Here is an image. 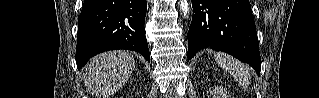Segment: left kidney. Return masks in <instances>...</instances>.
I'll list each match as a JSON object with an SVG mask.
<instances>
[{
	"instance_id": "1",
	"label": "left kidney",
	"mask_w": 319,
	"mask_h": 98,
	"mask_svg": "<svg viewBox=\"0 0 319 98\" xmlns=\"http://www.w3.org/2000/svg\"><path fill=\"white\" fill-rule=\"evenodd\" d=\"M211 95L212 98H231L227 89L220 86L213 87V89L211 90Z\"/></svg>"
}]
</instances>
